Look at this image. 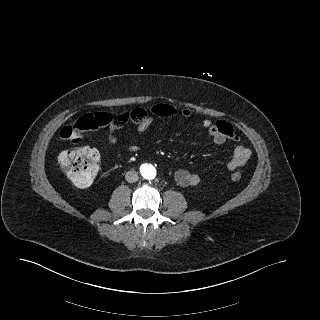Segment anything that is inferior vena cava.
<instances>
[{"label": "inferior vena cava", "mask_w": 320, "mask_h": 320, "mask_svg": "<svg viewBox=\"0 0 320 320\" xmlns=\"http://www.w3.org/2000/svg\"><path fill=\"white\" fill-rule=\"evenodd\" d=\"M138 173L136 171H128L125 175V179L129 183H134L138 181Z\"/></svg>", "instance_id": "602c4592"}]
</instances>
